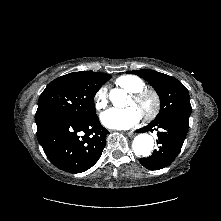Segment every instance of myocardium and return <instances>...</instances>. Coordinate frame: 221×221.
Returning <instances> with one entry per match:
<instances>
[{"label":"myocardium","instance_id":"1","mask_svg":"<svg viewBox=\"0 0 221 221\" xmlns=\"http://www.w3.org/2000/svg\"><path fill=\"white\" fill-rule=\"evenodd\" d=\"M132 98L136 104L142 103L147 98L151 99V108L142 114L145 120L154 119L160 112L161 99L155 90L144 88L140 91L132 93Z\"/></svg>","mask_w":221,"mask_h":221}]
</instances>
